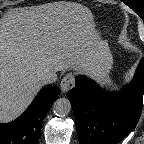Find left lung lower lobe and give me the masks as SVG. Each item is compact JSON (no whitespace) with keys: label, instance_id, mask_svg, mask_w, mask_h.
I'll list each match as a JSON object with an SVG mask.
<instances>
[{"label":"left lung lower lobe","instance_id":"obj_1","mask_svg":"<svg viewBox=\"0 0 144 144\" xmlns=\"http://www.w3.org/2000/svg\"><path fill=\"white\" fill-rule=\"evenodd\" d=\"M144 94V57L130 85L105 92L93 80L78 76L67 94L80 144H117L137 125Z\"/></svg>","mask_w":144,"mask_h":144}]
</instances>
